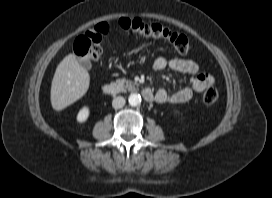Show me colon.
I'll list each match as a JSON object with an SVG mask.
<instances>
[{"instance_id":"obj_1","label":"colon","mask_w":272,"mask_h":198,"mask_svg":"<svg viewBox=\"0 0 272 198\" xmlns=\"http://www.w3.org/2000/svg\"><path fill=\"white\" fill-rule=\"evenodd\" d=\"M122 30L142 37L161 39L171 44L176 51L182 54L190 52L188 39L183 34L172 31L157 23H145L139 18H122L119 21ZM109 31L106 23H99L92 29L79 36L74 42L75 54L87 61L96 62L101 55L100 42ZM218 99L217 90L209 87L205 90L202 100L206 106H213Z\"/></svg>"}]
</instances>
